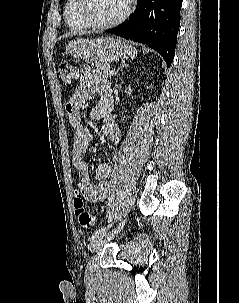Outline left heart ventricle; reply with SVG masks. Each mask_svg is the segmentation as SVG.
<instances>
[{
    "label": "left heart ventricle",
    "mask_w": 239,
    "mask_h": 303,
    "mask_svg": "<svg viewBox=\"0 0 239 303\" xmlns=\"http://www.w3.org/2000/svg\"><path fill=\"white\" fill-rule=\"evenodd\" d=\"M127 6V0H90L88 15L98 23L112 21L119 17Z\"/></svg>",
    "instance_id": "1"
}]
</instances>
